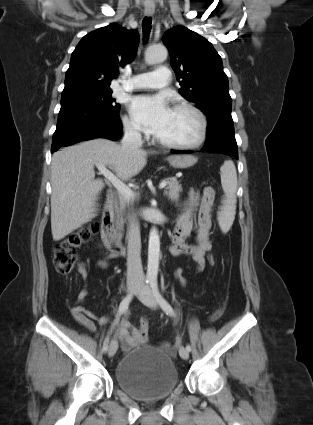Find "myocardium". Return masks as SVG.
Masks as SVG:
<instances>
[{"instance_id":"obj_1","label":"myocardium","mask_w":313,"mask_h":425,"mask_svg":"<svg viewBox=\"0 0 313 425\" xmlns=\"http://www.w3.org/2000/svg\"><path fill=\"white\" fill-rule=\"evenodd\" d=\"M173 110H185L196 116L199 121V133L197 138L189 143L168 142L158 137H156L155 140L160 145L170 149L192 150L200 147L205 142L208 133V121L205 114L196 106L186 102L177 103L174 105Z\"/></svg>"}]
</instances>
